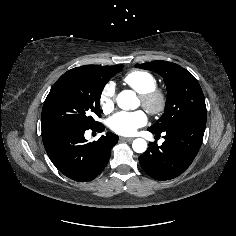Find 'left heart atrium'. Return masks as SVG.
<instances>
[{"instance_id":"left-heart-atrium-1","label":"left heart atrium","mask_w":236,"mask_h":236,"mask_svg":"<svg viewBox=\"0 0 236 236\" xmlns=\"http://www.w3.org/2000/svg\"><path fill=\"white\" fill-rule=\"evenodd\" d=\"M147 123V115L144 111L134 112L121 111L114 114L109 120V128L116 134L122 136L133 135L137 129Z\"/></svg>"}]
</instances>
